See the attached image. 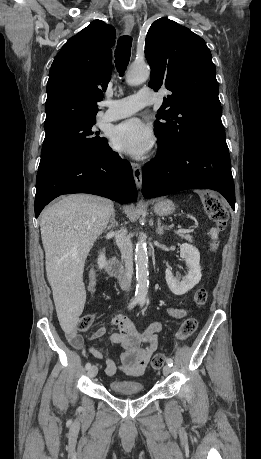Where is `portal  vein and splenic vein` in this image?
Instances as JSON below:
<instances>
[{
	"label": "portal vein and splenic vein",
	"instance_id": "obj_1",
	"mask_svg": "<svg viewBox=\"0 0 261 459\" xmlns=\"http://www.w3.org/2000/svg\"><path fill=\"white\" fill-rule=\"evenodd\" d=\"M191 231H192L191 229L179 228V229L177 230V233H183V234H185V233H190Z\"/></svg>",
	"mask_w": 261,
	"mask_h": 459
}]
</instances>
